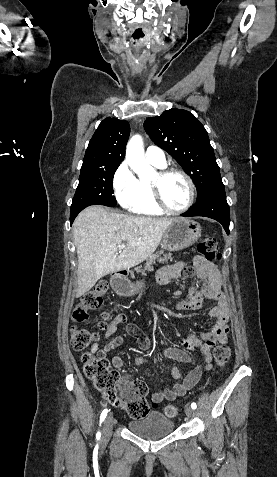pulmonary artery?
<instances>
[{
    "label": "pulmonary artery",
    "mask_w": 277,
    "mask_h": 477,
    "mask_svg": "<svg viewBox=\"0 0 277 477\" xmlns=\"http://www.w3.org/2000/svg\"><path fill=\"white\" fill-rule=\"evenodd\" d=\"M145 157L153 165L163 167L166 164L164 152L157 146H149L146 149Z\"/></svg>",
    "instance_id": "pulmonary-artery-1"
}]
</instances>
